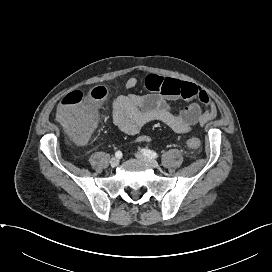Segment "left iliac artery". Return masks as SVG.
I'll return each mask as SVG.
<instances>
[{
	"label": "left iliac artery",
	"mask_w": 272,
	"mask_h": 272,
	"mask_svg": "<svg viewBox=\"0 0 272 272\" xmlns=\"http://www.w3.org/2000/svg\"><path fill=\"white\" fill-rule=\"evenodd\" d=\"M141 152L149 158H157L158 154L150 149H141Z\"/></svg>",
	"instance_id": "44dca946"
}]
</instances>
